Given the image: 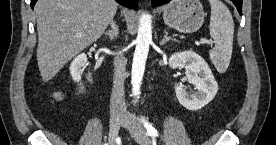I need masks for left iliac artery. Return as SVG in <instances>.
I'll return each instance as SVG.
<instances>
[{
  "mask_svg": "<svg viewBox=\"0 0 276 145\" xmlns=\"http://www.w3.org/2000/svg\"><path fill=\"white\" fill-rule=\"evenodd\" d=\"M140 121L143 124V126L146 128L149 136L158 137V135H159L158 131L153 127V125L151 123L148 122L147 119H145V117H141Z\"/></svg>",
  "mask_w": 276,
  "mask_h": 145,
  "instance_id": "left-iliac-artery-1",
  "label": "left iliac artery"
}]
</instances>
